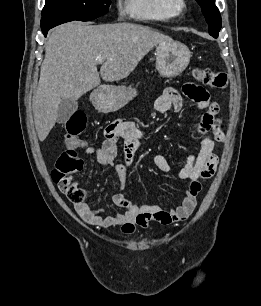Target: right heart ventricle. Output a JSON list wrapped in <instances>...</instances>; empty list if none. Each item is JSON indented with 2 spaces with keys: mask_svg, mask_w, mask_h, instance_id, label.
Here are the masks:
<instances>
[{
  "mask_svg": "<svg viewBox=\"0 0 261 306\" xmlns=\"http://www.w3.org/2000/svg\"><path fill=\"white\" fill-rule=\"evenodd\" d=\"M129 15L138 20L167 21L172 15L165 7V0H126Z\"/></svg>",
  "mask_w": 261,
  "mask_h": 306,
  "instance_id": "e07e8e85",
  "label": "right heart ventricle"
}]
</instances>
